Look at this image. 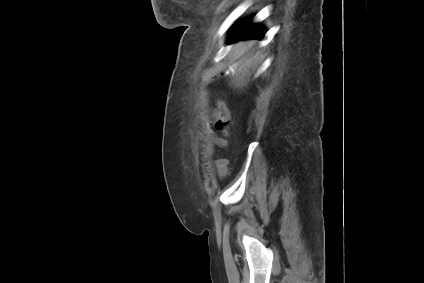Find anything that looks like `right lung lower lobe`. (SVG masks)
Wrapping results in <instances>:
<instances>
[{
  "instance_id": "obj_1",
  "label": "right lung lower lobe",
  "mask_w": 424,
  "mask_h": 283,
  "mask_svg": "<svg viewBox=\"0 0 424 283\" xmlns=\"http://www.w3.org/2000/svg\"><path fill=\"white\" fill-rule=\"evenodd\" d=\"M250 19L244 20L241 24L236 26L229 36V41L234 42L244 38H262L264 31L260 28L259 24H251Z\"/></svg>"
}]
</instances>
